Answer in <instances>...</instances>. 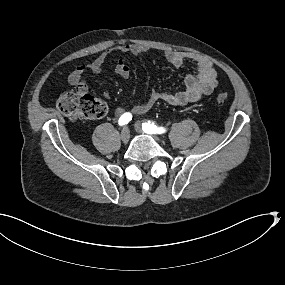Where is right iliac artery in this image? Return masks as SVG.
Here are the masks:
<instances>
[{"instance_id":"82829eb1","label":"right iliac artery","mask_w":285,"mask_h":285,"mask_svg":"<svg viewBox=\"0 0 285 285\" xmlns=\"http://www.w3.org/2000/svg\"><path fill=\"white\" fill-rule=\"evenodd\" d=\"M130 120H132V115H131V113L126 112L119 118L118 124L120 126H123V125L127 124Z\"/></svg>"}]
</instances>
